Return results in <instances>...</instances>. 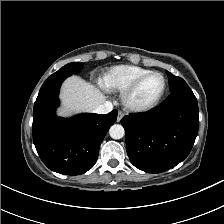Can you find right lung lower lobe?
I'll return each mask as SVG.
<instances>
[{
    "instance_id": "98d812e1",
    "label": "right lung lower lobe",
    "mask_w": 224,
    "mask_h": 224,
    "mask_svg": "<svg viewBox=\"0 0 224 224\" xmlns=\"http://www.w3.org/2000/svg\"><path fill=\"white\" fill-rule=\"evenodd\" d=\"M68 76L54 73L43 83L33 108V142L49 169L78 175L94 166L100 144L117 119V110L106 115L84 113L70 119L57 117L59 88Z\"/></svg>"
}]
</instances>
